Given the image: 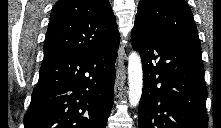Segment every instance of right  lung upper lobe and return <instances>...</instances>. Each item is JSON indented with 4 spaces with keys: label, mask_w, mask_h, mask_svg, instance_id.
Wrapping results in <instances>:
<instances>
[{
    "label": "right lung upper lobe",
    "mask_w": 221,
    "mask_h": 128,
    "mask_svg": "<svg viewBox=\"0 0 221 128\" xmlns=\"http://www.w3.org/2000/svg\"><path fill=\"white\" fill-rule=\"evenodd\" d=\"M119 39L108 0H58L50 15L42 64L68 54L93 52Z\"/></svg>",
    "instance_id": "1"
}]
</instances>
